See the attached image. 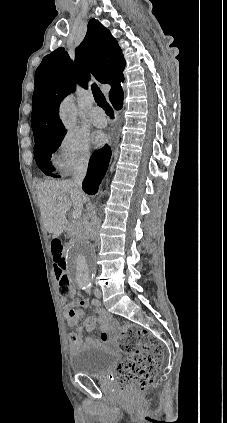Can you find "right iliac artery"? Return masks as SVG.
<instances>
[{"label":"right iliac artery","mask_w":227,"mask_h":423,"mask_svg":"<svg viewBox=\"0 0 227 423\" xmlns=\"http://www.w3.org/2000/svg\"><path fill=\"white\" fill-rule=\"evenodd\" d=\"M82 289H85V285H81Z\"/></svg>","instance_id":"obj_1"}]
</instances>
